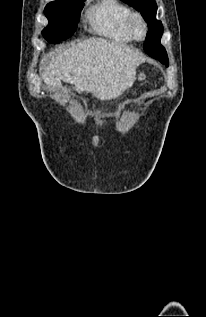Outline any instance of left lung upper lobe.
I'll list each match as a JSON object with an SVG mask.
<instances>
[{"label": "left lung upper lobe", "mask_w": 206, "mask_h": 317, "mask_svg": "<svg viewBox=\"0 0 206 317\" xmlns=\"http://www.w3.org/2000/svg\"><path fill=\"white\" fill-rule=\"evenodd\" d=\"M129 4L137 11H139L144 20L148 23L149 31L147 32L146 41L144 43V50L149 54L146 45L153 47L152 42H160L163 26L161 21L156 19L157 5L155 0H121ZM160 54L158 60L168 66V57L165 49H156Z\"/></svg>", "instance_id": "5c2ea615"}]
</instances>
